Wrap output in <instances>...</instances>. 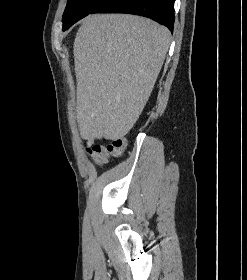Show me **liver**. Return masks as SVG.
Here are the masks:
<instances>
[{
  "label": "liver",
  "instance_id": "1",
  "mask_svg": "<svg viewBox=\"0 0 247 280\" xmlns=\"http://www.w3.org/2000/svg\"><path fill=\"white\" fill-rule=\"evenodd\" d=\"M169 30L144 17H86L74 41L77 122L85 138L115 140L136 123L170 45Z\"/></svg>",
  "mask_w": 247,
  "mask_h": 280
}]
</instances>
